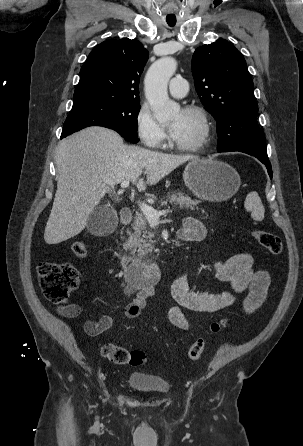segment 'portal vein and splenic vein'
<instances>
[{
	"instance_id": "obj_1",
	"label": "portal vein and splenic vein",
	"mask_w": 303,
	"mask_h": 446,
	"mask_svg": "<svg viewBox=\"0 0 303 446\" xmlns=\"http://www.w3.org/2000/svg\"><path fill=\"white\" fill-rule=\"evenodd\" d=\"M109 184L114 185L113 182H109ZM129 184H130L129 181H123L121 183V187L127 188L129 186ZM139 207H140L142 213L144 214V216L146 217V219L150 223H158L160 216L165 215L166 213L170 212L169 210L157 211L153 207H151L145 203H139Z\"/></svg>"
}]
</instances>
